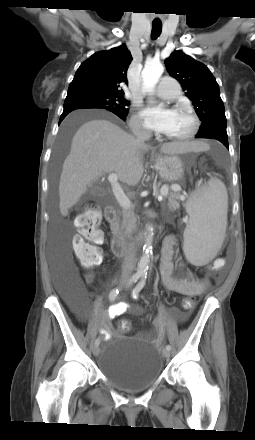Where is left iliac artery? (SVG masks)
<instances>
[{
  "mask_svg": "<svg viewBox=\"0 0 255 440\" xmlns=\"http://www.w3.org/2000/svg\"><path fill=\"white\" fill-rule=\"evenodd\" d=\"M145 280H146V276L142 277V279L140 280V282L136 285V287L133 289L132 291V297L133 299H138L139 297V292L143 289L144 285H145ZM166 349L167 350H171V346L170 345H166Z\"/></svg>",
  "mask_w": 255,
  "mask_h": 440,
  "instance_id": "obj_1",
  "label": "left iliac artery"
}]
</instances>
